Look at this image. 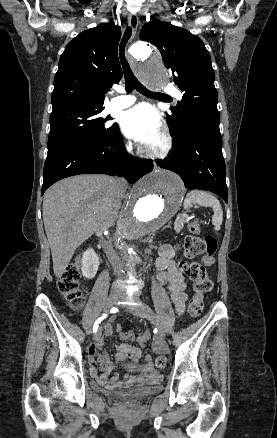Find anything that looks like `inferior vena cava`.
I'll return each mask as SVG.
<instances>
[{
  "label": "inferior vena cava",
  "instance_id": "602c4592",
  "mask_svg": "<svg viewBox=\"0 0 277 438\" xmlns=\"http://www.w3.org/2000/svg\"><path fill=\"white\" fill-rule=\"evenodd\" d=\"M118 180V184H120V186H124V188H126V182L125 180H122V178H117ZM123 188V190H124ZM111 264H112V268L116 274V276H118V278H120V276H122V272H120L121 270V262H118V260H111ZM117 290V288H116Z\"/></svg>",
  "mask_w": 277,
  "mask_h": 438
}]
</instances>
